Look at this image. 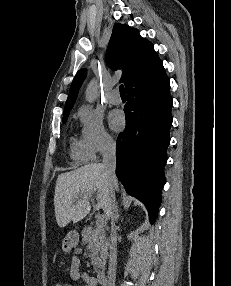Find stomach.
<instances>
[{
  "mask_svg": "<svg viewBox=\"0 0 231 286\" xmlns=\"http://www.w3.org/2000/svg\"><path fill=\"white\" fill-rule=\"evenodd\" d=\"M79 242V235L76 231H70L62 242V250L64 252H69L74 248Z\"/></svg>",
  "mask_w": 231,
  "mask_h": 286,
  "instance_id": "1",
  "label": "stomach"
}]
</instances>
